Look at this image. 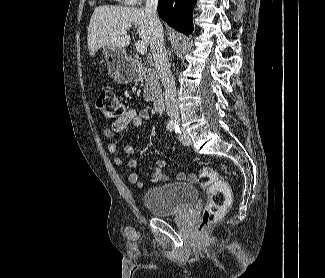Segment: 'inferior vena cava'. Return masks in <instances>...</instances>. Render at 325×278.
Instances as JSON below:
<instances>
[{"label": "inferior vena cava", "instance_id": "1", "mask_svg": "<svg viewBox=\"0 0 325 278\" xmlns=\"http://www.w3.org/2000/svg\"><path fill=\"white\" fill-rule=\"evenodd\" d=\"M157 5L158 0H147L145 6L150 25V49L157 73L165 88L166 112L171 119L179 120L175 80L168 64L163 27L157 15Z\"/></svg>", "mask_w": 325, "mask_h": 278}]
</instances>
